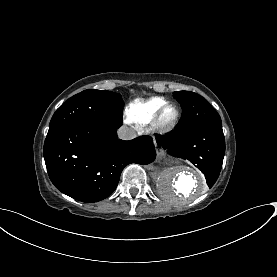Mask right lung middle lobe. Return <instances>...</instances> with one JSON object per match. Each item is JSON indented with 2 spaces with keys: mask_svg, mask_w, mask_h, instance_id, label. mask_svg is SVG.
Wrapping results in <instances>:
<instances>
[{
  "mask_svg": "<svg viewBox=\"0 0 277 277\" xmlns=\"http://www.w3.org/2000/svg\"><path fill=\"white\" fill-rule=\"evenodd\" d=\"M123 105L121 95L118 93L85 90L68 99L56 110L50 121L48 134L75 124L121 121Z\"/></svg>",
  "mask_w": 277,
  "mask_h": 277,
  "instance_id": "right-lung-middle-lobe-1",
  "label": "right lung middle lobe"
}]
</instances>
